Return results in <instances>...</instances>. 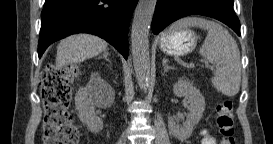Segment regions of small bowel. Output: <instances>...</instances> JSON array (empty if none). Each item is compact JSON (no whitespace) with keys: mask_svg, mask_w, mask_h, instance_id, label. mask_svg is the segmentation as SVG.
I'll use <instances>...</instances> for the list:
<instances>
[{"mask_svg":"<svg viewBox=\"0 0 273 144\" xmlns=\"http://www.w3.org/2000/svg\"><path fill=\"white\" fill-rule=\"evenodd\" d=\"M202 144H216V139L214 136L208 133L207 130L202 131Z\"/></svg>","mask_w":273,"mask_h":144,"instance_id":"c3829d8e","label":"small bowel"}]
</instances>
